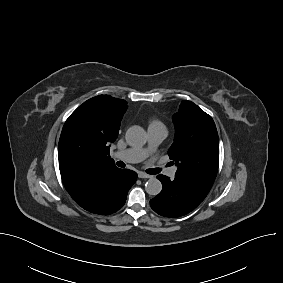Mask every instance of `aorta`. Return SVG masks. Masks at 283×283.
Instances as JSON below:
<instances>
[{
	"mask_svg": "<svg viewBox=\"0 0 283 283\" xmlns=\"http://www.w3.org/2000/svg\"><path fill=\"white\" fill-rule=\"evenodd\" d=\"M130 146H143L146 143V132L138 125L131 126L125 135ZM145 190L149 195H158L162 190V183L157 178H150L145 184Z\"/></svg>",
	"mask_w": 283,
	"mask_h": 283,
	"instance_id": "762f6f07",
	"label": "aorta"
}]
</instances>
